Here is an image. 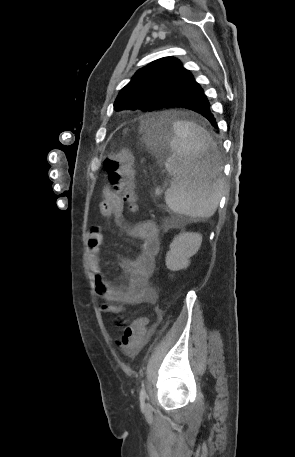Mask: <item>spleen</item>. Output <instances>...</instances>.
<instances>
[{
  "label": "spleen",
  "mask_w": 295,
  "mask_h": 457,
  "mask_svg": "<svg viewBox=\"0 0 295 457\" xmlns=\"http://www.w3.org/2000/svg\"><path fill=\"white\" fill-rule=\"evenodd\" d=\"M174 132L172 154L165 162L173 176L171 187L165 192L166 204L177 214L209 218L219 205L224 187L218 176L220 157L216 144L205 129L188 121H175ZM208 150L215 151L212 163L203 158Z\"/></svg>",
  "instance_id": "1"
}]
</instances>
